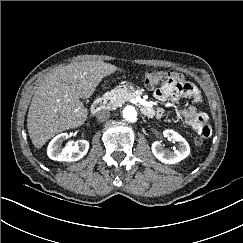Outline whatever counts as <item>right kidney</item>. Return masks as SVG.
<instances>
[{
	"instance_id": "1",
	"label": "right kidney",
	"mask_w": 243,
	"mask_h": 243,
	"mask_svg": "<svg viewBox=\"0 0 243 243\" xmlns=\"http://www.w3.org/2000/svg\"><path fill=\"white\" fill-rule=\"evenodd\" d=\"M68 138L67 133H61L55 136L48 145L47 155L55 161L74 162L83 158L89 149V142L80 140L75 143H69L61 148L63 141Z\"/></svg>"
}]
</instances>
